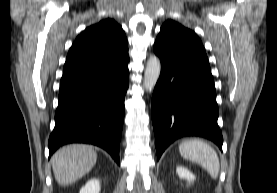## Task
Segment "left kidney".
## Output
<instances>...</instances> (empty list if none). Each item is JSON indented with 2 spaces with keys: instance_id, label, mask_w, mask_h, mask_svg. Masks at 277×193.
<instances>
[{
  "instance_id": "obj_1",
  "label": "left kidney",
  "mask_w": 277,
  "mask_h": 193,
  "mask_svg": "<svg viewBox=\"0 0 277 193\" xmlns=\"http://www.w3.org/2000/svg\"><path fill=\"white\" fill-rule=\"evenodd\" d=\"M176 173L178 174L179 178L186 179L189 183L195 180V175L183 166H177Z\"/></svg>"
}]
</instances>
